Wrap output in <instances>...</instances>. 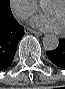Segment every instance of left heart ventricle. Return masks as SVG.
<instances>
[{
    "label": "left heart ventricle",
    "instance_id": "left-heart-ventricle-1",
    "mask_svg": "<svg viewBox=\"0 0 65 89\" xmlns=\"http://www.w3.org/2000/svg\"><path fill=\"white\" fill-rule=\"evenodd\" d=\"M46 12L58 16L65 24V7L60 3H52L46 6Z\"/></svg>",
    "mask_w": 65,
    "mask_h": 89
}]
</instances>
